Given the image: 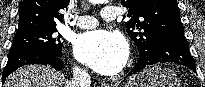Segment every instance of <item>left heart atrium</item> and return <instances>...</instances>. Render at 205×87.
<instances>
[{
  "mask_svg": "<svg viewBox=\"0 0 205 87\" xmlns=\"http://www.w3.org/2000/svg\"><path fill=\"white\" fill-rule=\"evenodd\" d=\"M74 54L80 62L96 72L115 75L127 61L128 45L116 32L94 30L77 37Z\"/></svg>",
  "mask_w": 205,
  "mask_h": 87,
  "instance_id": "1",
  "label": "left heart atrium"
}]
</instances>
